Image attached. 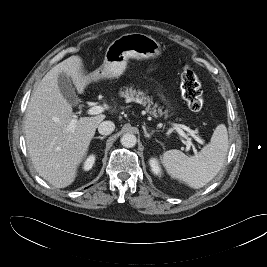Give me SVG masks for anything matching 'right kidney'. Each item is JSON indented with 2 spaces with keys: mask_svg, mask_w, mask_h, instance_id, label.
I'll use <instances>...</instances> for the list:
<instances>
[{
  "mask_svg": "<svg viewBox=\"0 0 267 267\" xmlns=\"http://www.w3.org/2000/svg\"><path fill=\"white\" fill-rule=\"evenodd\" d=\"M94 163H95V155H90V156L86 159V161H85V163H84V167H83L84 170H85V171L90 170V169L93 167Z\"/></svg>",
  "mask_w": 267,
  "mask_h": 267,
  "instance_id": "ca27d5eb",
  "label": "right kidney"
}]
</instances>
